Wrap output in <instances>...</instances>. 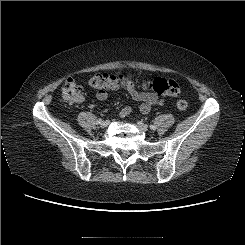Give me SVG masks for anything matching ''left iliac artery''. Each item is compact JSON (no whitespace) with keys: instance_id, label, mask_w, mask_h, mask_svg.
Wrapping results in <instances>:
<instances>
[{"instance_id":"left-iliac-artery-1","label":"left iliac artery","mask_w":245,"mask_h":245,"mask_svg":"<svg viewBox=\"0 0 245 245\" xmlns=\"http://www.w3.org/2000/svg\"><path fill=\"white\" fill-rule=\"evenodd\" d=\"M150 129L151 130H156V126L155 125H150Z\"/></svg>"}]
</instances>
